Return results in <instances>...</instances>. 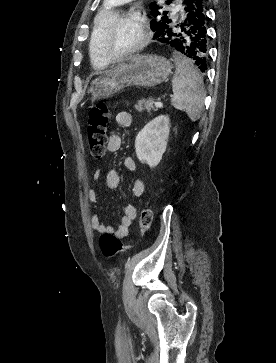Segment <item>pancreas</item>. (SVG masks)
<instances>
[{"label":"pancreas","mask_w":276,"mask_h":363,"mask_svg":"<svg viewBox=\"0 0 276 363\" xmlns=\"http://www.w3.org/2000/svg\"><path fill=\"white\" fill-rule=\"evenodd\" d=\"M134 108L140 113H143V111L150 113L151 110L156 111L158 109V107L155 106V102L151 98L139 100L137 104L134 105Z\"/></svg>","instance_id":"obj_1"}]
</instances>
